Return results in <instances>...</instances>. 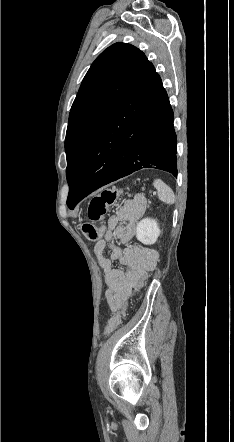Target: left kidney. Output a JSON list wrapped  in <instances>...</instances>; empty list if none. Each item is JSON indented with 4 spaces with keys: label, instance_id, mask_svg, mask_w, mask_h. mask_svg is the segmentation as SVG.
Returning a JSON list of instances; mask_svg holds the SVG:
<instances>
[{
    "label": "left kidney",
    "instance_id": "1",
    "mask_svg": "<svg viewBox=\"0 0 234 442\" xmlns=\"http://www.w3.org/2000/svg\"><path fill=\"white\" fill-rule=\"evenodd\" d=\"M161 231L156 220L145 218L137 224L136 237L141 243L145 245L154 244Z\"/></svg>",
    "mask_w": 234,
    "mask_h": 442
}]
</instances>
